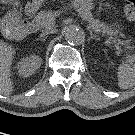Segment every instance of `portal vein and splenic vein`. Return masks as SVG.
<instances>
[{"instance_id":"1","label":"portal vein and splenic vein","mask_w":135,"mask_h":135,"mask_svg":"<svg viewBox=\"0 0 135 135\" xmlns=\"http://www.w3.org/2000/svg\"><path fill=\"white\" fill-rule=\"evenodd\" d=\"M54 22H55V18L49 19V24H54ZM109 38L111 39V37H109ZM114 43H115L116 47L121 50L119 44L116 41H114ZM127 58H129L131 61H133L134 57H131L130 55H127Z\"/></svg>"}]
</instances>
